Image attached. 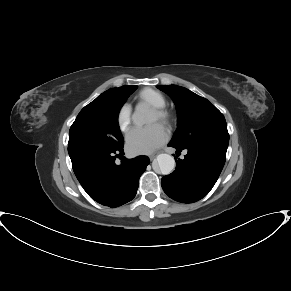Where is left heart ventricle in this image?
Instances as JSON below:
<instances>
[{"instance_id":"obj_1","label":"left heart ventricle","mask_w":291,"mask_h":291,"mask_svg":"<svg viewBox=\"0 0 291 291\" xmlns=\"http://www.w3.org/2000/svg\"><path fill=\"white\" fill-rule=\"evenodd\" d=\"M158 121L157 115L154 113V111L151 112L150 117H149V124H153Z\"/></svg>"}]
</instances>
